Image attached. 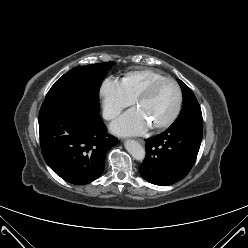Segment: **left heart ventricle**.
I'll return each instance as SVG.
<instances>
[{"label": "left heart ventricle", "mask_w": 248, "mask_h": 248, "mask_svg": "<svg viewBox=\"0 0 248 248\" xmlns=\"http://www.w3.org/2000/svg\"><path fill=\"white\" fill-rule=\"evenodd\" d=\"M178 99L177 89L170 82H163L155 87L151 95L138 103L151 124L166 120L175 110Z\"/></svg>", "instance_id": "obj_1"}]
</instances>
